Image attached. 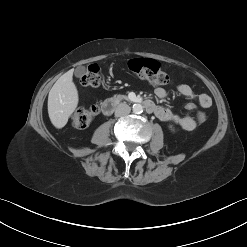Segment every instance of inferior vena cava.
Instances as JSON below:
<instances>
[{"mask_svg":"<svg viewBox=\"0 0 247 247\" xmlns=\"http://www.w3.org/2000/svg\"><path fill=\"white\" fill-rule=\"evenodd\" d=\"M130 111H131V108L129 107V105H127L126 103H121L117 106L115 110V116L117 117L125 116V115H128Z\"/></svg>","mask_w":247,"mask_h":247,"instance_id":"inferior-vena-cava-1","label":"inferior vena cava"}]
</instances>
